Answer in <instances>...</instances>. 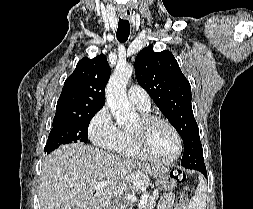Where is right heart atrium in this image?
<instances>
[{"mask_svg":"<svg viewBox=\"0 0 253 209\" xmlns=\"http://www.w3.org/2000/svg\"><path fill=\"white\" fill-rule=\"evenodd\" d=\"M91 142L99 148L117 150L123 141V131L115 124L107 107L101 108L88 127Z\"/></svg>","mask_w":253,"mask_h":209,"instance_id":"obj_1","label":"right heart atrium"}]
</instances>
